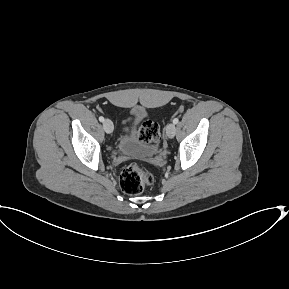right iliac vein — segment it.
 <instances>
[{"label": "right iliac vein", "instance_id": "63e3f726", "mask_svg": "<svg viewBox=\"0 0 289 289\" xmlns=\"http://www.w3.org/2000/svg\"><path fill=\"white\" fill-rule=\"evenodd\" d=\"M103 128H104L106 133H109V134L112 133L113 129H114L112 121L109 119L104 120Z\"/></svg>", "mask_w": 289, "mask_h": 289}]
</instances>
